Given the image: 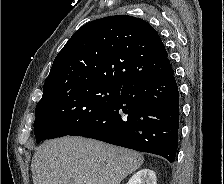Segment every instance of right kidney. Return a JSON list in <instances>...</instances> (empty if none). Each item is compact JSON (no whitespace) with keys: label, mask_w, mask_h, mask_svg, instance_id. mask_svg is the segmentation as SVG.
<instances>
[{"label":"right kidney","mask_w":224,"mask_h":184,"mask_svg":"<svg viewBox=\"0 0 224 184\" xmlns=\"http://www.w3.org/2000/svg\"><path fill=\"white\" fill-rule=\"evenodd\" d=\"M127 184H157L156 174L151 169H142L134 174Z\"/></svg>","instance_id":"1"}]
</instances>
